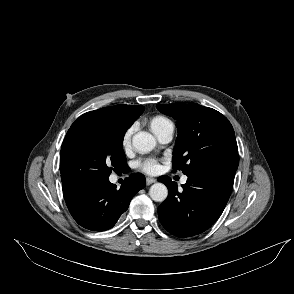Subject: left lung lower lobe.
Returning a JSON list of instances; mask_svg holds the SVG:
<instances>
[{"label": "left lung lower lobe", "instance_id": "1", "mask_svg": "<svg viewBox=\"0 0 294 294\" xmlns=\"http://www.w3.org/2000/svg\"><path fill=\"white\" fill-rule=\"evenodd\" d=\"M238 153L220 157L202 172L188 176L179 192L168 176H161L168 197L158 207L161 224L177 237H190L210 228L222 214L234 183Z\"/></svg>", "mask_w": 294, "mask_h": 294}]
</instances>
